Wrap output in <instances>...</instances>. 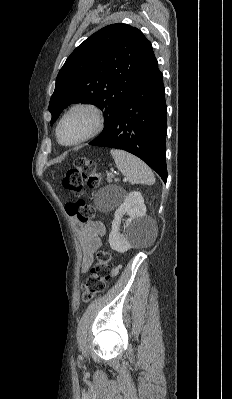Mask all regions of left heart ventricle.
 <instances>
[{
	"mask_svg": "<svg viewBox=\"0 0 232 399\" xmlns=\"http://www.w3.org/2000/svg\"><path fill=\"white\" fill-rule=\"evenodd\" d=\"M94 119L90 111L77 109L67 116L61 126L65 142H74L86 136L93 128Z\"/></svg>",
	"mask_w": 232,
	"mask_h": 399,
	"instance_id": "left-heart-ventricle-1",
	"label": "left heart ventricle"
}]
</instances>
